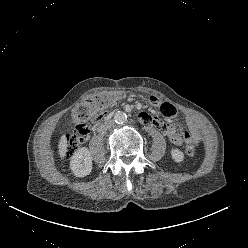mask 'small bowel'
<instances>
[{"label": "small bowel", "mask_w": 248, "mask_h": 248, "mask_svg": "<svg viewBox=\"0 0 248 248\" xmlns=\"http://www.w3.org/2000/svg\"><path fill=\"white\" fill-rule=\"evenodd\" d=\"M150 103L159 111V116L153 119L148 113L142 112L139 115V119L142 123L153 122V124L168 137L170 142L176 146H181L188 142H199V130L192 120H188L189 131L181 133L177 131L175 125L166 124V121H171L179 115V110L175 105L171 102H164L155 96L150 98ZM109 114V111L105 109L101 113L96 114L92 120L97 124L98 122L103 121Z\"/></svg>", "instance_id": "c3829d8e"}]
</instances>
